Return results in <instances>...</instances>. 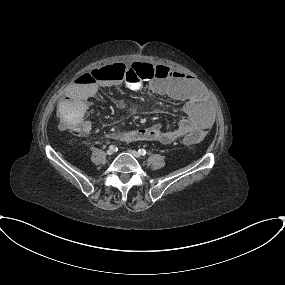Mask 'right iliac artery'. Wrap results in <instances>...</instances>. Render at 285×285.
Here are the masks:
<instances>
[{
  "label": "right iliac artery",
  "mask_w": 285,
  "mask_h": 285,
  "mask_svg": "<svg viewBox=\"0 0 285 285\" xmlns=\"http://www.w3.org/2000/svg\"><path fill=\"white\" fill-rule=\"evenodd\" d=\"M109 148L112 150H117V147H115L114 145L109 146Z\"/></svg>",
  "instance_id": "1"
}]
</instances>
